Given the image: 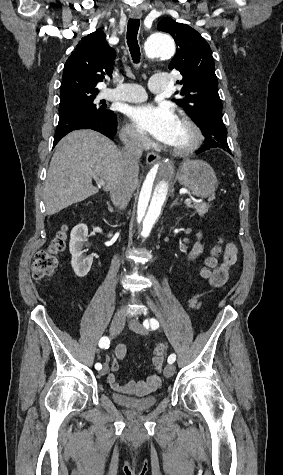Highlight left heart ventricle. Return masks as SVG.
Wrapping results in <instances>:
<instances>
[{"label":"left heart ventricle","instance_id":"b2bd125f","mask_svg":"<svg viewBox=\"0 0 283 475\" xmlns=\"http://www.w3.org/2000/svg\"><path fill=\"white\" fill-rule=\"evenodd\" d=\"M173 132L175 133L173 139L167 143L170 147L179 148L188 142L190 132L180 118H178V122Z\"/></svg>","mask_w":283,"mask_h":475}]
</instances>
